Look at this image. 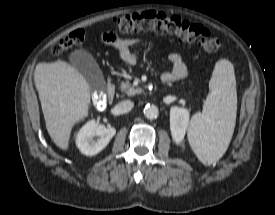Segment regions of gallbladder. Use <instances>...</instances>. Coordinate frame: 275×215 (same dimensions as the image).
Returning a JSON list of instances; mask_svg holds the SVG:
<instances>
[{"label": "gallbladder", "instance_id": "1", "mask_svg": "<svg viewBox=\"0 0 275 215\" xmlns=\"http://www.w3.org/2000/svg\"><path fill=\"white\" fill-rule=\"evenodd\" d=\"M71 65L87 80L91 90H102L105 80L94 57L86 50L79 49L69 55Z\"/></svg>", "mask_w": 275, "mask_h": 215}]
</instances>
